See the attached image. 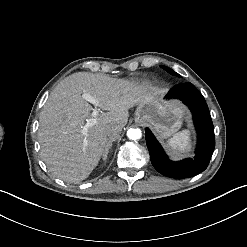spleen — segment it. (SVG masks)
Masks as SVG:
<instances>
[{
    "instance_id": "obj_1",
    "label": "spleen",
    "mask_w": 247,
    "mask_h": 247,
    "mask_svg": "<svg viewBox=\"0 0 247 247\" xmlns=\"http://www.w3.org/2000/svg\"><path fill=\"white\" fill-rule=\"evenodd\" d=\"M172 141H176L177 143H183V145H187L189 143L192 145V130L184 129L178 133H175L173 137L167 139L165 143L166 145H168Z\"/></svg>"
}]
</instances>
